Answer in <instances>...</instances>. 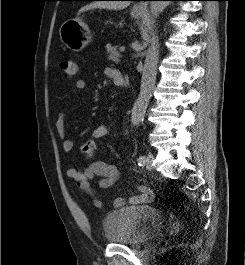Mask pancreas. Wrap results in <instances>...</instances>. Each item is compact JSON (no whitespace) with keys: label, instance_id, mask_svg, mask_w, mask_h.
<instances>
[{"label":"pancreas","instance_id":"cf45deb5","mask_svg":"<svg viewBox=\"0 0 245 265\" xmlns=\"http://www.w3.org/2000/svg\"><path fill=\"white\" fill-rule=\"evenodd\" d=\"M107 58L114 63L120 62L121 55L117 51V47H111V45L107 47Z\"/></svg>","mask_w":245,"mask_h":265}]
</instances>
